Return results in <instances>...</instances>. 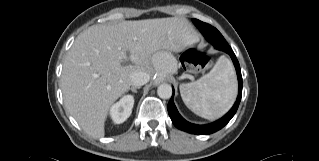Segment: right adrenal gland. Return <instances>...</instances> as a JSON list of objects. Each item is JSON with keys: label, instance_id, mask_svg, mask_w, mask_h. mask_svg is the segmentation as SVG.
I'll list each match as a JSON object with an SVG mask.
<instances>
[{"label": "right adrenal gland", "instance_id": "2a0ac1e0", "mask_svg": "<svg viewBox=\"0 0 319 161\" xmlns=\"http://www.w3.org/2000/svg\"><path fill=\"white\" fill-rule=\"evenodd\" d=\"M137 88L139 87H131L129 90H131L133 93H137Z\"/></svg>", "mask_w": 319, "mask_h": 161}]
</instances>
